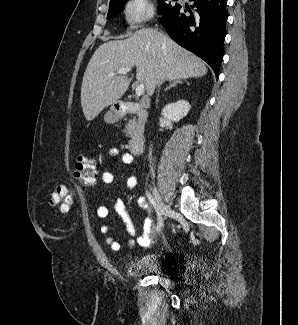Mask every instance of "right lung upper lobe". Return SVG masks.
<instances>
[{"mask_svg": "<svg viewBox=\"0 0 298 325\" xmlns=\"http://www.w3.org/2000/svg\"><path fill=\"white\" fill-rule=\"evenodd\" d=\"M115 0H110V2H114Z\"/></svg>", "mask_w": 298, "mask_h": 325, "instance_id": "cb5924a9", "label": "right lung upper lobe"}]
</instances>
